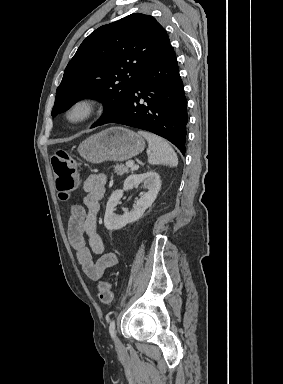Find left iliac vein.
I'll list each match as a JSON object with an SVG mask.
<instances>
[{"instance_id": "1", "label": "left iliac vein", "mask_w": 283, "mask_h": 384, "mask_svg": "<svg viewBox=\"0 0 283 384\" xmlns=\"http://www.w3.org/2000/svg\"><path fill=\"white\" fill-rule=\"evenodd\" d=\"M114 342H115L116 349L118 351L123 349V344H122V342L119 340V338L117 336L114 337Z\"/></svg>"}]
</instances>
